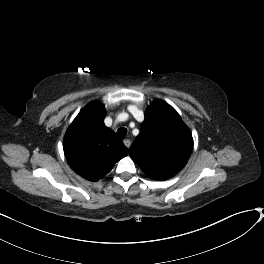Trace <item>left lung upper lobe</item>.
Segmentation results:
<instances>
[{
    "mask_svg": "<svg viewBox=\"0 0 264 264\" xmlns=\"http://www.w3.org/2000/svg\"><path fill=\"white\" fill-rule=\"evenodd\" d=\"M141 127L129 150L131 158L153 180L172 178L184 168L192 152L189 128L162 100H155L147 108Z\"/></svg>",
    "mask_w": 264,
    "mask_h": 264,
    "instance_id": "left-lung-upper-lobe-1",
    "label": "left lung upper lobe"
}]
</instances>
